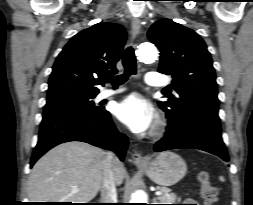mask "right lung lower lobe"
<instances>
[{"mask_svg":"<svg viewBox=\"0 0 253 205\" xmlns=\"http://www.w3.org/2000/svg\"><path fill=\"white\" fill-rule=\"evenodd\" d=\"M69 141H82L113 150L122 161L128 146V139L117 131L110 113L104 108L95 114L48 112L43 114L31 166L49 149Z\"/></svg>","mask_w":253,"mask_h":205,"instance_id":"98d812e1","label":"right lung lower lobe"}]
</instances>
